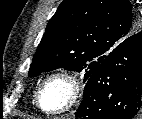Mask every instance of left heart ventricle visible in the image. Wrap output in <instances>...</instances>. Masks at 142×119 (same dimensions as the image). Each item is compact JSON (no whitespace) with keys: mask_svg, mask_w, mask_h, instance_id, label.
<instances>
[{"mask_svg":"<svg viewBox=\"0 0 142 119\" xmlns=\"http://www.w3.org/2000/svg\"><path fill=\"white\" fill-rule=\"evenodd\" d=\"M69 96V88L63 81L51 82L43 92L42 104L48 109H56L65 104Z\"/></svg>","mask_w":142,"mask_h":119,"instance_id":"obj_1","label":"left heart ventricle"}]
</instances>
